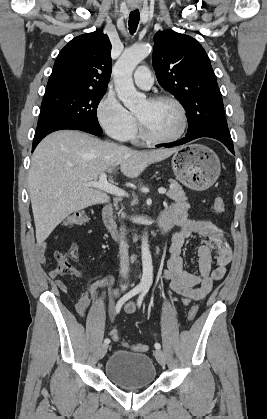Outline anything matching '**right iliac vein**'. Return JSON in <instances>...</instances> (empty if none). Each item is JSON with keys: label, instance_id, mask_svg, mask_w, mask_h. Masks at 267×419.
<instances>
[{"label": "right iliac vein", "instance_id": "right-iliac-vein-1", "mask_svg": "<svg viewBox=\"0 0 267 419\" xmlns=\"http://www.w3.org/2000/svg\"><path fill=\"white\" fill-rule=\"evenodd\" d=\"M108 349V344L104 343L101 345L100 350H99V357L103 358L107 352Z\"/></svg>", "mask_w": 267, "mask_h": 419}]
</instances>
